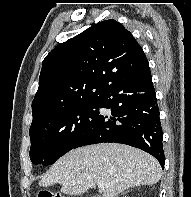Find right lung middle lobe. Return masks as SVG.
<instances>
[{"label":"right lung middle lobe","mask_w":191,"mask_h":197,"mask_svg":"<svg viewBox=\"0 0 191 197\" xmlns=\"http://www.w3.org/2000/svg\"><path fill=\"white\" fill-rule=\"evenodd\" d=\"M98 115V102H88L61 111L29 130L30 159L48 166L72 150Z\"/></svg>","instance_id":"1"}]
</instances>
